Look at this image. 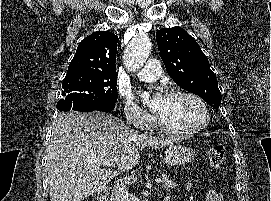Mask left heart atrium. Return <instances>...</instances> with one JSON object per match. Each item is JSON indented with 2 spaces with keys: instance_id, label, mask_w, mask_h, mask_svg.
I'll return each mask as SVG.
<instances>
[{
  "instance_id": "39dd6f15",
  "label": "left heart atrium",
  "mask_w": 271,
  "mask_h": 201,
  "mask_svg": "<svg viewBox=\"0 0 271 201\" xmlns=\"http://www.w3.org/2000/svg\"><path fill=\"white\" fill-rule=\"evenodd\" d=\"M164 98L160 94H155L147 103L148 107L158 114L161 110Z\"/></svg>"
}]
</instances>
